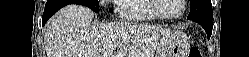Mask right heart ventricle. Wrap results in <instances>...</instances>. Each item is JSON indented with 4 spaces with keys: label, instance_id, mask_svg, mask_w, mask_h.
Here are the masks:
<instances>
[{
    "label": "right heart ventricle",
    "instance_id": "1",
    "mask_svg": "<svg viewBox=\"0 0 249 57\" xmlns=\"http://www.w3.org/2000/svg\"><path fill=\"white\" fill-rule=\"evenodd\" d=\"M150 0H119L117 13L127 21H153L157 16L151 11Z\"/></svg>",
    "mask_w": 249,
    "mask_h": 57
}]
</instances>
